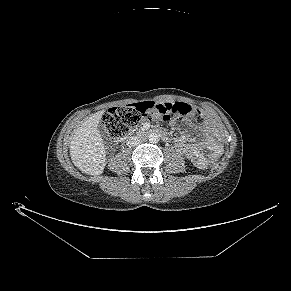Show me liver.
Wrapping results in <instances>:
<instances>
[{
    "instance_id": "6515ba94",
    "label": "liver",
    "mask_w": 291,
    "mask_h": 291,
    "mask_svg": "<svg viewBox=\"0 0 291 291\" xmlns=\"http://www.w3.org/2000/svg\"><path fill=\"white\" fill-rule=\"evenodd\" d=\"M104 111H98L85 120L76 130L70 144L73 164L83 173L99 175L105 168L106 151L98 131Z\"/></svg>"
}]
</instances>
